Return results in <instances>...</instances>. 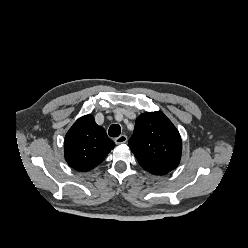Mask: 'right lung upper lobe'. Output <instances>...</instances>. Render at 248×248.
I'll return each instance as SVG.
<instances>
[{"instance_id":"1","label":"right lung upper lobe","mask_w":248,"mask_h":248,"mask_svg":"<svg viewBox=\"0 0 248 248\" xmlns=\"http://www.w3.org/2000/svg\"><path fill=\"white\" fill-rule=\"evenodd\" d=\"M114 146L104 128L96 124L92 115H86L79 118L65 136V159L77 171H90Z\"/></svg>"}]
</instances>
